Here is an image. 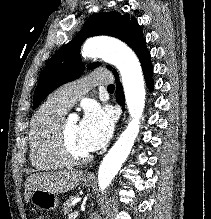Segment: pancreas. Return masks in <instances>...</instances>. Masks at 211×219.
<instances>
[{
  "instance_id": "obj_1",
  "label": "pancreas",
  "mask_w": 211,
  "mask_h": 219,
  "mask_svg": "<svg viewBox=\"0 0 211 219\" xmlns=\"http://www.w3.org/2000/svg\"><path fill=\"white\" fill-rule=\"evenodd\" d=\"M76 197H70L69 199H67L62 207H61V213H63L64 215L68 214L72 209V202Z\"/></svg>"
}]
</instances>
